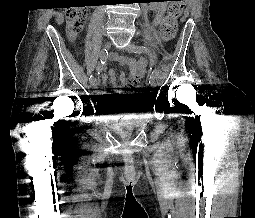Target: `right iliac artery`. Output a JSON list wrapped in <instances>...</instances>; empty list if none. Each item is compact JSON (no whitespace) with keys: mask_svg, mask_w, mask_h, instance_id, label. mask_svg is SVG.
I'll return each mask as SVG.
<instances>
[{"mask_svg":"<svg viewBox=\"0 0 255 218\" xmlns=\"http://www.w3.org/2000/svg\"><path fill=\"white\" fill-rule=\"evenodd\" d=\"M107 53H108L107 50H104L102 52L103 58L100 59V62L98 63V66L96 68L98 72H100L102 70V67L106 62ZM94 79H95V77L93 75H90L89 81L92 82Z\"/></svg>","mask_w":255,"mask_h":218,"instance_id":"82829eb1","label":"right iliac artery"}]
</instances>
